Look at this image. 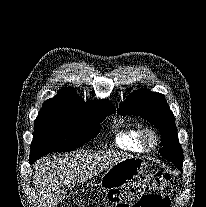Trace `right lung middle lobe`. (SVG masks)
<instances>
[{
  "label": "right lung middle lobe",
  "instance_id": "1",
  "mask_svg": "<svg viewBox=\"0 0 206 207\" xmlns=\"http://www.w3.org/2000/svg\"><path fill=\"white\" fill-rule=\"evenodd\" d=\"M115 109L85 111L66 107L43 106L34 124L30 157L50 152H69L96 137L100 123Z\"/></svg>",
  "mask_w": 206,
  "mask_h": 207
}]
</instances>
